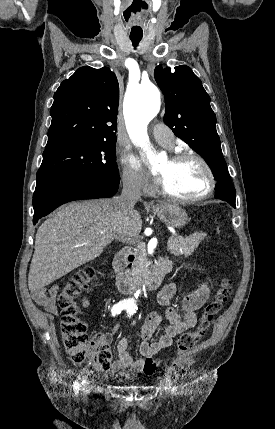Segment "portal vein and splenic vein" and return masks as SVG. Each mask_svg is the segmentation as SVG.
I'll list each match as a JSON object with an SVG mask.
<instances>
[{
	"label": "portal vein and splenic vein",
	"instance_id": "portal-vein-and-splenic-vein-1",
	"mask_svg": "<svg viewBox=\"0 0 275 429\" xmlns=\"http://www.w3.org/2000/svg\"><path fill=\"white\" fill-rule=\"evenodd\" d=\"M172 237H173V236H172ZM172 237H171V238L168 240V242H167V246H168V247L172 245V239H173ZM116 239H119V240H120V237H117V236H116ZM121 241L123 242V241H124V239H123V238H121Z\"/></svg>",
	"mask_w": 275,
	"mask_h": 429
}]
</instances>
